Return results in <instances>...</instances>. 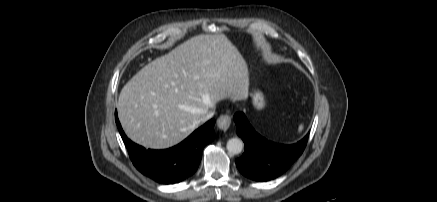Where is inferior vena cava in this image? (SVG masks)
Listing matches in <instances>:
<instances>
[{
	"label": "inferior vena cava",
	"mask_w": 437,
	"mask_h": 202,
	"mask_svg": "<svg viewBox=\"0 0 437 202\" xmlns=\"http://www.w3.org/2000/svg\"><path fill=\"white\" fill-rule=\"evenodd\" d=\"M213 114H214L213 111H209V110L204 111V112L202 113V116H201L200 119H199L200 123H204V122H206L207 120H209L210 118H212Z\"/></svg>",
	"instance_id": "obj_1"
}]
</instances>
